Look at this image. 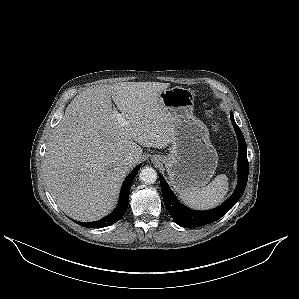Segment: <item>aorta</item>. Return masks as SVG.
<instances>
[{
    "instance_id": "762f6f07",
    "label": "aorta",
    "mask_w": 299,
    "mask_h": 299,
    "mask_svg": "<svg viewBox=\"0 0 299 299\" xmlns=\"http://www.w3.org/2000/svg\"><path fill=\"white\" fill-rule=\"evenodd\" d=\"M139 177L145 184H153L157 180V172L152 167H144L141 169Z\"/></svg>"
}]
</instances>
